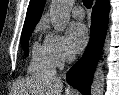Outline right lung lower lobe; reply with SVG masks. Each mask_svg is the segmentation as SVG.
<instances>
[{
  "instance_id": "1",
  "label": "right lung lower lobe",
  "mask_w": 119,
  "mask_h": 95,
  "mask_svg": "<svg viewBox=\"0 0 119 95\" xmlns=\"http://www.w3.org/2000/svg\"><path fill=\"white\" fill-rule=\"evenodd\" d=\"M109 2H97L91 17V38L83 57L67 73V82L83 95L90 94L94 70L106 36Z\"/></svg>"
}]
</instances>
